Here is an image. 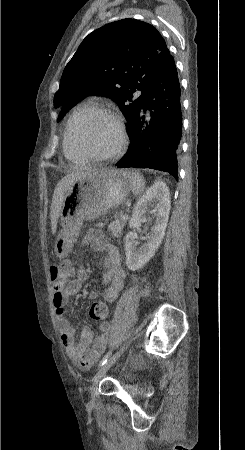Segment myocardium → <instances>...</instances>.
<instances>
[{
	"instance_id": "1",
	"label": "myocardium",
	"mask_w": 245,
	"mask_h": 450,
	"mask_svg": "<svg viewBox=\"0 0 245 450\" xmlns=\"http://www.w3.org/2000/svg\"><path fill=\"white\" fill-rule=\"evenodd\" d=\"M98 118H105L113 122L117 130L119 132V144L118 147L111 153L103 156L93 155L89 153L77 140L76 134H75V123L78 120H82L85 123H90ZM70 135H71V141L73 144V147L78 150L81 154H83L87 159H91L98 162H107L112 161L120 157L128 144V133L126 126L122 120V118L116 114L115 112L107 109H95L91 111L89 114L85 115L84 117L80 119L72 118L70 120Z\"/></svg>"
}]
</instances>
